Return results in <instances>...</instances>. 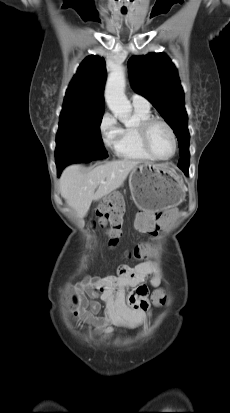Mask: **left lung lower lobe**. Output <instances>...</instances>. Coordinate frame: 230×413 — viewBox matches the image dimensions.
I'll return each instance as SVG.
<instances>
[{
    "label": "left lung lower lobe",
    "mask_w": 230,
    "mask_h": 413,
    "mask_svg": "<svg viewBox=\"0 0 230 413\" xmlns=\"http://www.w3.org/2000/svg\"><path fill=\"white\" fill-rule=\"evenodd\" d=\"M186 176H188V170H183Z\"/></svg>",
    "instance_id": "obj_1"
}]
</instances>
